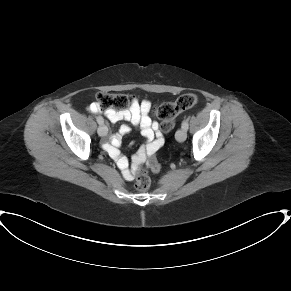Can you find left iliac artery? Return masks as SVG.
<instances>
[{"mask_svg":"<svg viewBox=\"0 0 291 291\" xmlns=\"http://www.w3.org/2000/svg\"><path fill=\"white\" fill-rule=\"evenodd\" d=\"M184 130H186L187 131V129H188V121L187 120H184L183 122H182V126H181Z\"/></svg>","mask_w":291,"mask_h":291,"instance_id":"left-iliac-artery-1","label":"left iliac artery"}]
</instances>
